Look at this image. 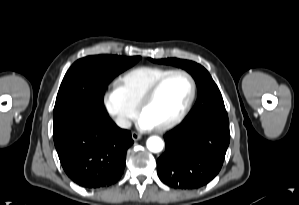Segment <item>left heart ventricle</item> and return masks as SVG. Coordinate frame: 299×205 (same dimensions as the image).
Segmentation results:
<instances>
[{"instance_id": "left-heart-ventricle-1", "label": "left heart ventricle", "mask_w": 299, "mask_h": 205, "mask_svg": "<svg viewBox=\"0 0 299 205\" xmlns=\"http://www.w3.org/2000/svg\"><path fill=\"white\" fill-rule=\"evenodd\" d=\"M190 90V81L184 75L178 74L170 77L144 109L142 115L148 118L155 127L172 120L185 106Z\"/></svg>"}]
</instances>
